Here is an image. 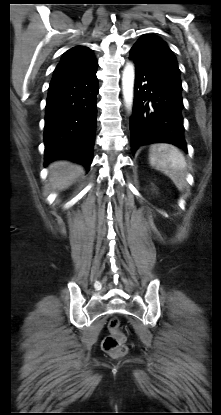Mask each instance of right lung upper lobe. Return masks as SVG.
Returning a JSON list of instances; mask_svg holds the SVG:
<instances>
[{
  "label": "right lung upper lobe",
  "instance_id": "right-lung-upper-lobe-1",
  "mask_svg": "<svg viewBox=\"0 0 221 415\" xmlns=\"http://www.w3.org/2000/svg\"><path fill=\"white\" fill-rule=\"evenodd\" d=\"M97 65V60L91 49L84 46H76L63 54L61 61L54 71V75L88 69Z\"/></svg>",
  "mask_w": 221,
  "mask_h": 415
}]
</instances>
